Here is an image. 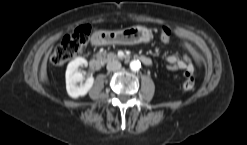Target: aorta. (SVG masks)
<instances>
[{"mask_svg": "<svg viewBox=\"0 0 247 145\" xmlns=\"http://www.w3.org/2000/svg\"><path fill=\"white\" fill-rule=\"evenodd\" d=\"M141 68V62L139 60H133L130 62V69L138 71Z\"/></svg>", "mask_w": 247, "mask_h": 145, "instance_id": "762f6f07", "label": "aorta"}]
</instances>
